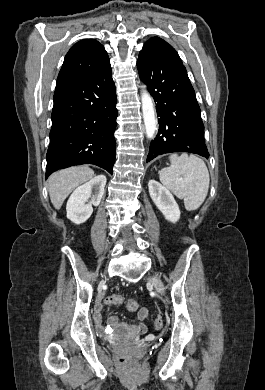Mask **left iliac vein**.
<instances>
[{
	"label": "left iliac vein",
	"instance_id": "obj_1",
	"mask_svg": "<svg viewBox=\"0 0 265 390\" xmlns=\"http://www.w3.org/2000/svg\"><path fill=\"white\" fill-rule=\"evenodd\" d=\"M148 281L154 285L156 291L160 294H164V285L159 277L151 276L148 278Z\"/></svg>",
	"mask_w": 265,
	"mask_h": 390
}]
</instances>
